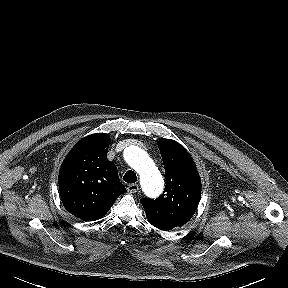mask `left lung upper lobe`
<instances>
[{
	"label": "left lung upper lobe",
	"instance_id": "left-lung-upper-lobe-1",
	"mask_svg": "<svg viewBox=\"0 0 288 288\" xmlns=\"http://www.w3.org/2000/svg\"><path fill=\"white\" fill-rule=\"evenodd\" d=\"M159 149L166 173L164 193L157 199L144 198L141 203L149 221L173 229L186 224L201 197V182L187 150L171 139H161Z\"/></svg>",
	"mask_w": 288,
	"mask_h": 288
}]
</instances>
